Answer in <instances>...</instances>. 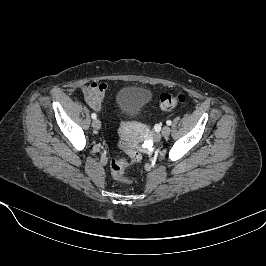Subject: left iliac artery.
<instances>
[{
    "mask_svg": "<svg viewBox=\"0 0 266 266\" xmlns=\"http://www.w3.org/2000/svg\"><path fill=\"white\" fill-rule=\"evenodd\" d=\"M167 125H171L172 124V121L171 120H167Z\"/></svg>",
    "mask_w": 266,
    "mask_h": 266,
    "instance_id": "44dca946",
    "label": "left iliac artery"
}]
</instances>
